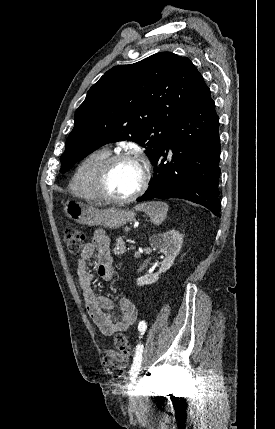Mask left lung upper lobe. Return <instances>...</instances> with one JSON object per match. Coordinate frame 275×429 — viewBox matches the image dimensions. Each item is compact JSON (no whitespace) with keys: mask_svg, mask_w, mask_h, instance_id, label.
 Returning <instances> with one entry per match:
<instances>
[{"mask_svg":"<svg viewBox=\"0 0 275 429\" xmlns=\"http://www.w3.org/2000/svg\"><path fill=\"white\" fill-rule=\"evenodd\" d=\"M200 73L187 57L161 52L107 71L87 93L61 156V173L100 146L131 140L157 156L190 102Z\"/></svg>","mask_w":275,"mask_h":429,"instance_id":"1","label":"left lung upper lobe"}]
</instances>
